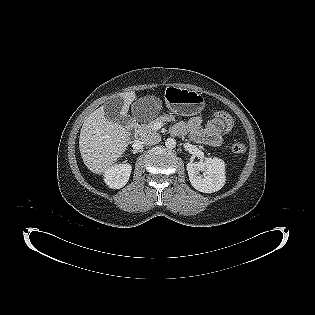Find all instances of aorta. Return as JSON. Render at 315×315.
I'll return each mask as SVG.
<instances>
[{
    "instance_id": "762f6f07",
    "label": "aorta",
    "mask_w": 315,
    "mask_h": 315,
    "mask_svg": "<svg viewBox=\"0 0 315 315\" xmlns=\"http://www.w3.org/2000/svg\"><path fill=\"white\" fill-rule=\"evenodd\" d=\"M165 146L168 148V149H173L176 147V140L174 138H168L166 139L165 141Z\"/></svg>"
}]
</instances>
